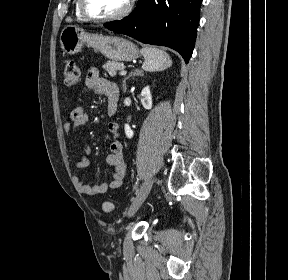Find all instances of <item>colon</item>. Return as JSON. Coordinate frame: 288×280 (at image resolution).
<instances>
[{"instance_id":"obj_1","label":"colon","mask_w":288,"mask_h":280,"mask_svg":"<svg viewBox=\"0 0 288 280\" xmlns=\"http://www.w3.org/2000/svg\"><path fill=\"white\" fill-rule=\"evenodd\" d=\"M64 82L68 86H73L78 83L80 79V70L78 64L74 60L67 61L64 68ZM102 209L106 213H110L114 210L113 203L106 201L102 205Z\"/></svg>"}]
</instances>
